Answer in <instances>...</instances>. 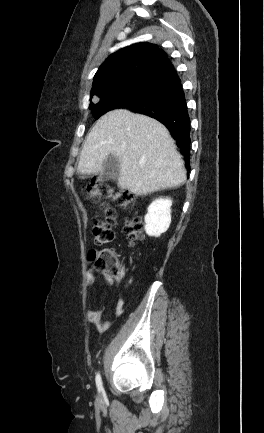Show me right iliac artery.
Listing matches in <instances>:
<instances>
[{"label":"right iliac artery","instance_id":"1","mask_svg":"<svg viewBox=\"0 0 264 433\" xmlns=\"http://www.w3.org/2000/svg\"><path fill=\"white\" fill-rule=\"evenodd\" d=\"M95 381H96V385H97L98 391L101 392L103 390V386H102L101 376H100L99 373H97Z\"/></svg>","mask_w":264,"mask_h":433}]
</instances>
